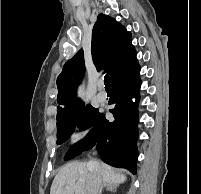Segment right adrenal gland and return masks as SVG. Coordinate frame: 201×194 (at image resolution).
<instances>
[{
    "label": "right adrenal gland",
    "mask_w": 201,
    "mask_h": 194,
    "mask_svg": "<svg viewBox=\"0 0 201 194\" xmlns=\"http://www.w3.org/2000/svg\"><path fill=\"white\" fill-rule=\"evenodd\" d=\"M106 189V191L109 192H116L117 191V185H101L100 190H99V194H102L103 189Z\"/></svg>",
    "instance_id": "obj_1"
}]
</instances>
